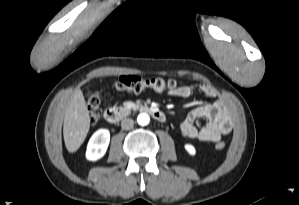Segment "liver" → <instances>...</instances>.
Listing matches in <instances>:
<instances>
[{
  "instance_id": "1",
  "label": "liver",
  "mask_w": 299,
  "mask_h": 205,
  "mask_svg": "<svg viewBox=\"0 0 299 205\" xmlns=\"http://www.w3.org/2000/svg\"><path fill=\"white\" fill-rule=\"evenodd\" d=\"M90 128V116L81 90H76L64 117L63 136L67 150L77 151Z\"/></svg>"
}]
</instances>
